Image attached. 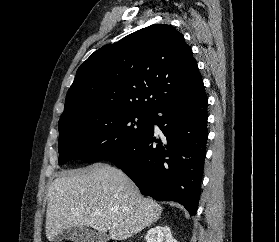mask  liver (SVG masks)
Masks as SVG:
<instances>
[{
    "label": "liver",
    "instance_id": "obj_1",
    "mask_svg": "<svg viewBox=\"0 0 279 242\" xmlns=\"http://www.w3.org/2000/svg\"><path fill=\"white\" fill-rule=\"evenodd\" d=\"M47 199L49 241L72 227H92L104 236L109 232L112 240H126L155 222L162 212L125 173L107 164L62 172L50 185Z\"/></svg>",
    "mask_w": 279,
    "mask_h": 242
}]
</instances>
